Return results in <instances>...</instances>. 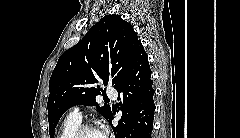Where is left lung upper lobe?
I'll use <instances>...</instances> for the list:
<instances>
[{
  "label": "left lung upper lobe",
  "mask_w": 240,
  "mask_h": 138,
  "mask_svg": "<svg viewBox=\"0 0 240 138\" xmlns=\"http://www.w3.org/2000/svg\"><path fill=\"white\" fill-rule=\"evenodd\" d=\"M144 49L132 25L121 16H104L75 46L64 52L49 81L47 103L52 138L61 116L74 105L97 106L105 119L109 106L99 107L100 81L116 89L126 77L138 52Z\"/></svg>",
  "instance_id": "1"
}]
</instances>
